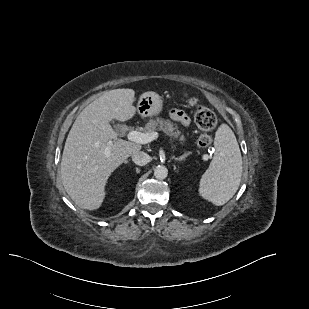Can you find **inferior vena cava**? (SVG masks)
Returning <instances> with one entry per match:
<instances>
[{
	"label": "inferior vena cava",
	"instance_id": "1",
	"mask_svg": "<svg viewBox=\"0 0 309 309\" xmlns=\"http://www.w3.org/2000/svg\"><path fill=\"white\" fill-rule=\"evenodd\" d=\"M150 159V156L143 151H136L132 154V161L139 166L146 165L150 162Z\"/></svg>",
	"mask_w": 309,
	"mask_h": 309
}]
</instances>
